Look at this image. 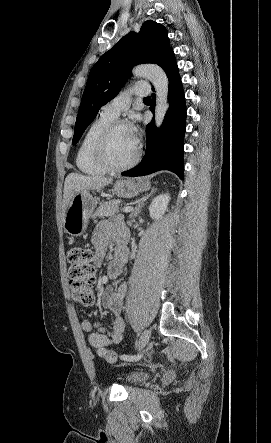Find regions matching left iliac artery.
Returning a JSON list of instances; mask_svg holds the SVG:
<instances>
[{"label":"left iliac artery","mask_w":271,"mask_h":443,"mask_svg":"<svg viewBox=\"0 0 271 443\" xmlns=\"http://www.w3.org/2000/svg\"><path fill=\"white\" fill-rule=\"evenodd\" d=\"M143 357V353H140L138 355H126L123 354L120 356V358L124 361H139Z\"/></svg>","instance_id":"1"}]
</instances>
